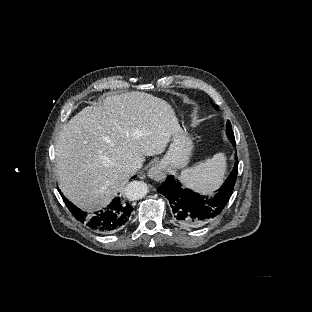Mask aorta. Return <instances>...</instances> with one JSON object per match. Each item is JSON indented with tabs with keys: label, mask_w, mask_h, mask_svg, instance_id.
<instances>
[{
	"label": "aorta",
	"mask_w": 312,
	"mask_h": 312,
	"mask_svg": "<svg viewBox=\"0 0 312 312\" xmlns=\"http://www.w3.org/2000/svg\"><path fill=\"white\" fill-rule=\"evenodd\" d=\"M149 192L148 185L143 181H132L126 186V197L130 201L140 200Z\"/></svg>",
	"instance_id": "obj_1"
}]
</instances>
